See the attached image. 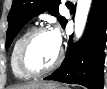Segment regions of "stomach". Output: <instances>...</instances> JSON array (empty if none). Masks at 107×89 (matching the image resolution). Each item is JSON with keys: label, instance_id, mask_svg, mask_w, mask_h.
<instances>
[{"label": "stomach", "instance_id": "obj_1", "mask_svg": "<svg viewBox=\"0 0 107 89\" xmlns=\"http://www.w3.org/2000/svg\"><path fill=\"white\" fill-rule=\"evenodd\" d=\"M38 89H65V88L60 85L54 84V83H49L46 85H42Z\"/></svg>", "mask_w": 107, "mask_h": 89}]
</instances>
